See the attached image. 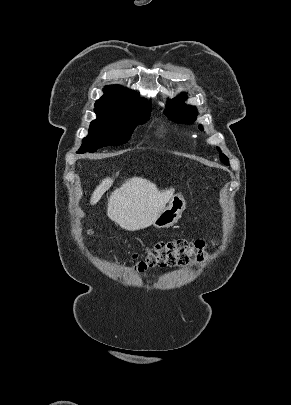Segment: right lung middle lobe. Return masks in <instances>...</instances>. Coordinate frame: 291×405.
Returning a JSON list of instances; mask_svg holds the SVG:
<instances>
[{"instance_id":"1","label":"right lung middle lobe","mask_w":291,"mask_h":405,"mask_svg":"<svg viewBox=\"0 0 291 405\" xmlns=\"http://www.w3.org/2000/svg\"><path fill=\"white\" fill-rule=\"evenodd\" d=\"M151 108L133 112L95 111L97 119L92 121L89 134L83 139L78 154L95 152L104 146L125 144L139 124H143L150 116Z\"/></svg>"}]
</instances>
